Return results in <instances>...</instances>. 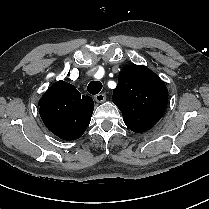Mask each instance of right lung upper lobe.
<instances>
[{"mask_svg":"<svg viewBox=\"0 0 209 209\" xmlns=\"http://www.w3.org/2000/svg\"><path fill=\"white\" fill-rule=\"evenodd\" d=\"M39 112L45 126L63 140H75L87 129L94 109L90 96L65 81H58L39 100Z\"/></svg>","mask_w":209,"mask_h":209,"instance_id":"cb5924a9","label":"right lung upper lobe"}]
</instances>
